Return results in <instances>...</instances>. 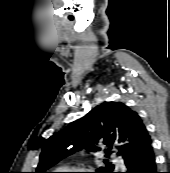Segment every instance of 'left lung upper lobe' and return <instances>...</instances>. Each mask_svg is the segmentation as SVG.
Wrapping results in <instances>:
<instances>
[{
    "mask_svg": "<svg viewBox=\"0 0 170 173\" xmlns=\"http://www.w3.org/2000/svg\"><path fill=\"white\" fill-rule=\"evenodd\" d=\"M150 142L151 137L137 112L121 102H104L47 140L35 173H48L51 166L76 151H100L99 144L107 147L104 151L108 158L112 148L124 156ZM104 163L95 173L114 172L113 164L106 159Z\"/></svg>",
    "mask_w": 170,
    "mask_h": 173,
    "instance_id": "left-lung-upper-lobe-1",
    "label": "left lung upper lobe"
}]
</instances>
